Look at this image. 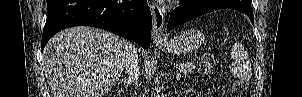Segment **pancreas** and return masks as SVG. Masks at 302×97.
<instances>
[{"label":"pancreas","instance_id":"cf45deb5","mask_svg":"<svg viewBox=\"0 0 302 97\" xmlns=\"http://www.w3.org/2000/svg\"><path fill=\"white\" fill-rule=\"evenodd\" d=\"M196 68V65L194 62H183L178 64V71L183 73L185 76H188L189 73H193L194 69Z\"/></svg>","mask_w":302,"mask_h":97}]
</instances>
